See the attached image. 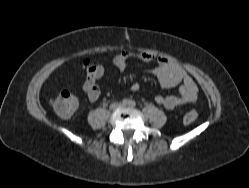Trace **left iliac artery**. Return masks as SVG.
<instances>
[{
  "label": "left iliac artery",
  "instance_id": "left-iliac-artery-1",
  "mask_svg": "<svg viewBox=\"0 0 249 188\" xmlns=\"http://www.w3.org/2000/svg\"><path fill=\"white\" fill-rule=\"evenodd\" d=\"M129 105H130L131 107H134V106H136V103H135V101L130 100V101H129Z\"/></svg>",
  "mask_w": 249,
  "mask_h": 188
}]
</instances>
